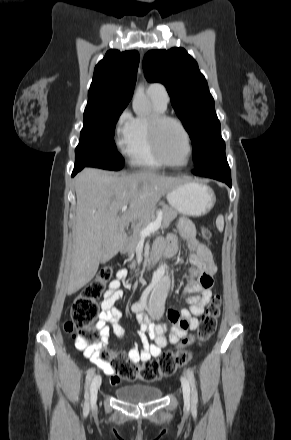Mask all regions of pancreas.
Wrapping results in <instances>:
<instances>
[{
    "instance_id": "1",
    "label": "pancreas",
    "mask_w": 291,
    "mask_h": 440,
    "mask_svg": "<svg viewBox=\"0 0 291 440\" xmlns=\"http://www.w3.org/2000/svg\"><path fill=\"white\" fill-rule=\"evenodd\" d=\"M161 212H162V221H161V227L162 228H166L169 226V224L171 223V221L177 217L178 213L177 211L165 204V203H161ZM154 214H151L146 217L142 222H140L134 229L133 234L131 235V237L128 239L127 243H126V248L125 251L128 253V255H134L136 253L137 250V246L139 244V241L141 239L140 236V231L145 228L153 219H154ZM133 264H135V262H133Z\"/></svg>"
}]
</instances>
